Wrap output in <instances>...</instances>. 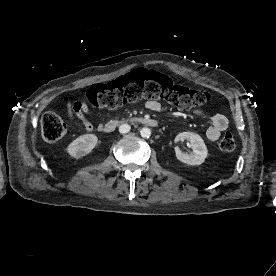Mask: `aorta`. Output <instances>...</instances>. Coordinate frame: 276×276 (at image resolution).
I'll return each mask as SVG.
<instances>
[{"label": "aorta", "instance_id": "aorta-1", "mask_svg": "<svg viewBox=\"0 0 276 276\" xmlns=\"http://www.w3.org/2000/svg\"><path fill=\"white\" fill-rule=\"evenodd\" d=\"M140 134L143 138H149L151 136V130L149 128H142Z\"/></svg>", "mask_w": 276, "mask_h": 276}]
</instances>
